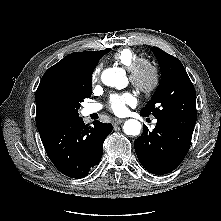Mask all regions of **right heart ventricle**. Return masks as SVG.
<instances>
[{"label": "right heart ventricle", "instance_id": "e07e8e85", "mask_svg": "<svg viewBox=\"0 0 221 221\" xmlns=\"http://www.w3.org/2000/svg\"><path fill=\"white\" fill-rule=\"evenodd\" d=\"M137 58L138 54L130 48H121L113 55V59L126 69H130Z\"/></svg>", "mask_w": 221, "mask_h": 221}]
</instances>
